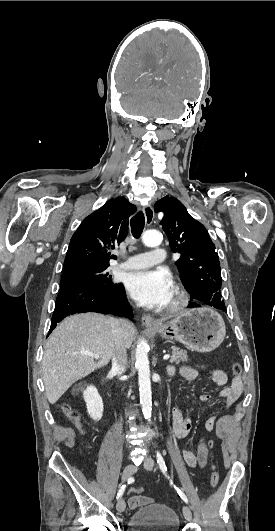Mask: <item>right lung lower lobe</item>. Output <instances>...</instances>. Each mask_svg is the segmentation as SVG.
<instances>
[{
  "label": "right lung lower lobe",
  "instance_id": "98d812e1",
  "mask_svg": "<svg viewBox=\"0 0 275 531\" xmlns=\"http://www.w3.org/2000/svg\"><path fill=\"white\" fill-rule=\"evenodd\" d=\"M84 312L112 313L133 317L125 289L121 283L103 288L90 283L73 281L61 284L48 335L65 317Z\"/></svg>",
  "mask_w": 275,
  "mask_h": 531
}]
</instances>
